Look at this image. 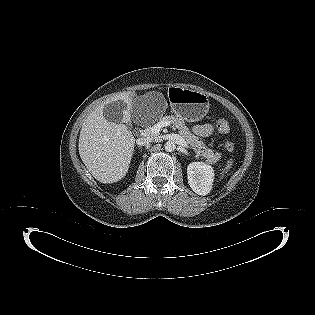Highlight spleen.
<instances>
[{
	"mask_svg": "<svg viewBox=\"0 0 315 315\" xmlns=\"http://www.w3.org/2000/svg\"><path fill=\"white\" fill-rule=\"evenodd\" d=\"M232 164H233V160L227 161V164H226L223 172H227L231 168Z\"/></svg>",
	"mask_w": 315,
	"mask_h": 315,
	"instance_id": "1",
	"label": "spleen"
}]
</instances>
